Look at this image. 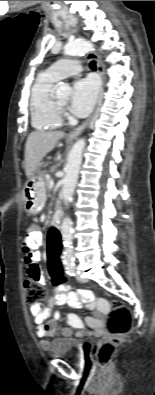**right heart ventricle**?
Segmentation results:
<instances>
[{
    "label": "right heart ventricle",
    "mask_w": 155,
    "mask_h": 395,
    "mask_svg": "<svg viewBox=\"0 0 155 395\" xmlns=\"http://www.w3.org/2000/svg\"><path fill=\"white\" fill-rule=\"evenodd\" d=\"M58 80L48 72L36 78L30 92L29 109L33 128L53 130L61 126V117L53 104V89Z\"/></svg>",
    "instance_id": "1"
}]
</instances>
